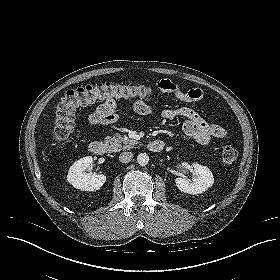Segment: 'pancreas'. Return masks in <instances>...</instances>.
Wrapping results in <instances>:
<instances>
[{
    "instance_id": "obj_1",
    "label": "pancreas",
    "mask_w": 280,
    "mask_h": 280,
    "mask_svg": "<svg viewBox=\"0 0 280 280\" xmlns=\"http://www.w3.org/2000/svg\"><path fill=\"white\" fill-rule=\"evenodd\" d=\"M106 143L109 144L111 151H120L123 149H131L133 145L138 144V141L132 140L127 136L121 137L120 135H115L113 137L108 136L106 138Z\"/></svg>"
}]
</instances>
